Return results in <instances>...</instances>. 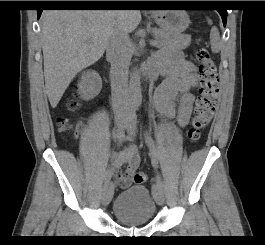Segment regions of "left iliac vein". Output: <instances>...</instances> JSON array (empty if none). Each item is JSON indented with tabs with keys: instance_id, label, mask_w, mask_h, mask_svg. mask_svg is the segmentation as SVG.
Returning <instances> with one entry per match:
<instances>
[{
	"instance_id": "obj_1",
	"label": "left iliac vein",
	"mask_w": 265,
	"mask_h": 245,
	"mask_svg": "<svg viewBox=\"0 0 265 245\" xmlns=\"http://www.w3.org/2000/svg\"><path fill=\"white\" fill-rule=\"evenodd\" d=\"M126 130L129 136L135 135L136 130V121L135 120H129L126 124ZM154 199L158 205H163L165 202L164 197V190L163 188H157V190L153 193Z\"/></svg>"
}]
</instances>
